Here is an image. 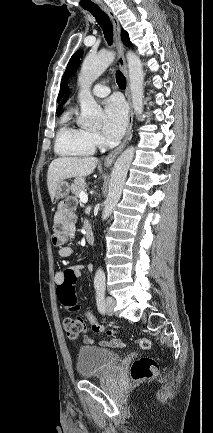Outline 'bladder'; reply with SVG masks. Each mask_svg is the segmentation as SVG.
I'll return each mask as SVG.
<instances>
[{
    "instance_id": "bladder-1",
    "label": "bladder",
    "mask_w": 213,
    "mask_h": 433,
    "mask_svg": "<svg viewBox=\"0 0 213 433\" xmlns=\"http://www.w3.org/2000/svg\"><path fill=\"white\" fill-rule=\"evenodd\" d=\"M122 359L119 352L97 347L81 346L77 353L76 368L84 379L100 377L109 373Z\"/></svg>"
}]
</instances>
